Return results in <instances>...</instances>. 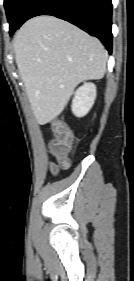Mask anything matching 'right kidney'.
Segmentation results:
<instances>
[{
  "mask_svg": "<svg viewBox=\"0 0 134 281\" xmlns=\"http://www.w3.org/2000/svg\"><path fill=\"white\" fill-rule=\"evenodd\" d=\"M96 98V86L93 83H85L75 92L72 101V112L77 117L85 116L92 108Z\"/></svg>",
  "mask_w": 134,
  "mask_h": 281,
  "instance_id": "right-kidney-1",
  "label": "right kidney"
}]
</instances>
